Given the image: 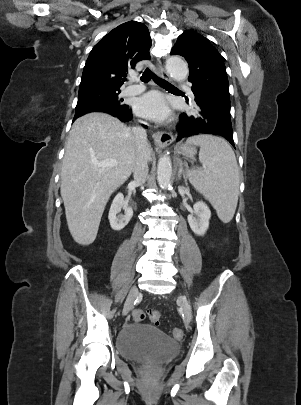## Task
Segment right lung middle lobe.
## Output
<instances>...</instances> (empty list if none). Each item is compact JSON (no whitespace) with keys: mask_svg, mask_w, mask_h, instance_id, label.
<instances>
[{"mask_svg":"<svg viewBox=\"0 0 301 405\" xmlns=\"http://www.w3.org/2000/svg\"><path fill=\"white\" fill-rule=\"evenodd\" d=\"M120 89L90 88L80 90L76 105L75 116H81L93 111L105 109L125 110L128 106L118 98Z\"/></svg>","mask_w":301,"mask_h":405,"instance_id":"1","label":"right lung middle lobe"}]
</instances>
